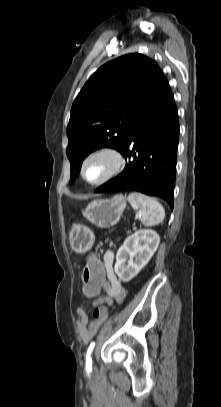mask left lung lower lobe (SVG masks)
Here are the masks:
<instances>
[{
    "label": "left lung lower lobe",
    "instance_id": "obj_1",
    "mask_svg": "<svg viewBox=\"0 0 221 407\" xmlns=\"http://www.w3.org/2000/svg\"><path fill=\"white\" fill-rule=\"evenodd\" d=\"M179 121L173 93L164 77L132 124L121 154L123 172L95 190L128 189L157 196L173 209Z\"/></svg>",
    "mask_w": 221,
    "mask_h": 407
}]
</instances>
